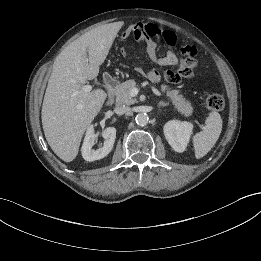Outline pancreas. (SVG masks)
I'll return each instance as SVG.
<instances>
[{"label":"pancreas","mask_w":261,"mask_h":261,"mask_svg":"<svg viewBox=\"0 0 261 261\" xmlns=\"http://www.w3.org/2000/svg\"><path fill=\"white\" fill-rule=\"evenodd\" d=\"M136 87V82L133 79L127 80L116 87L115 96L116 103L118 105H132L136 102L130 95L132 88ZM161 91L166 93V96L170 99L177 111L185 116H190L193 112L191 103L180 94L179 90L172 89L167 85H161Z\"/></svg>","instance_id":"pancreas-1"}]
</instances>
